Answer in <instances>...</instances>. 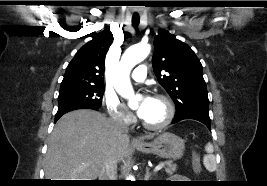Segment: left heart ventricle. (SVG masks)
Masks as SVG:
<instances>
[{
	"mask_svg": "<svg viewBox=\"0 0 267 186\" xmlns=\"http://www.w3.org/2000/svg\"><path fill=\"white\" fill-rule=\"evenodd\" d=\"M166 116V107L159 101L154 99L147 115L143 118V121L149 124H158Z\"/></svg>",
	"mask_w": 267,
	"mask_h": 186,
	"instance_id": "left-heart-ventricle-1",
	"label": "left heart ventricle"
}]
</instances>
